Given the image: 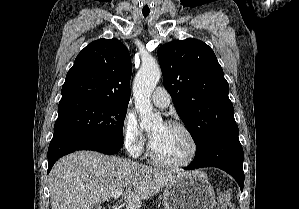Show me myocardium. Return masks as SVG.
<instances>
[{
  "label": "myocardium",
  "instance_id": "obj_1",
  "mask_svg": "<svg viewBox=\"0 0 299 209\" xmlns=\"http://www.w3.org/2000/svg\"><path fill=\"white\" fill-rule=\"evenodd\" d=\"M164 125L172 128H177L183 131L187 135L192 146L191 153L185 160L181 162H167L159 159L155 155L152 144L150 142L148 145V156L151 162L158 167L169 168V169L184 168L191 165L196 160L199 153V143L193 131L187 125L179 121H172V120L166 121Z\"/></svg>",
  "mask_w": 299,
  "mask_h": 209
}]
</instances>
